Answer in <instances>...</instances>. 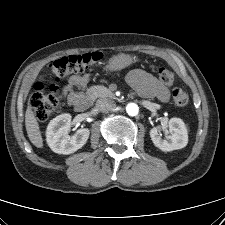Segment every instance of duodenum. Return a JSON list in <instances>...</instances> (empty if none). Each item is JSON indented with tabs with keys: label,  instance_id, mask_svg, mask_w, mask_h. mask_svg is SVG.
Returning <instances> with one entry per match:
<instances>
[{
	"label": "duodenum",
	"instance_id": "duodenum-1",
	"mask_svg": "<svg viewBox=\"0 0 225 225\" xmlns=\"http://www.w3.org/2000/svg\"><path fill=\"white\" fill-rule=\"evenodd\" d=\"M92 105V97L89 95L81 97L74 105V108L79 113H84L88 111V109Z\"/></svg>",
	"mask_w": 225,
	"mask_h": 225
}]
</instances>
